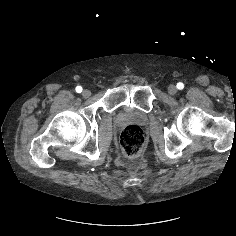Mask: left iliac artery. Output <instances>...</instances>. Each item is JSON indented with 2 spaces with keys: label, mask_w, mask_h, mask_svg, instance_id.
<instances>
[{
  "label": "left iliac artery",
  "mask_w": 236,
  "mask_h": 236,
  "mask_svg": "<svg viewBox=\"0 0 236 236\" xmlns=\"http://www.w3.org/2000/svg\"><path fill=\"white\" fill-rule=\"evenodd\" d=\"M177 88L182 90L184 88V84L182 82L177 83Z\"/></svg>",
  "instance_id": "44dca946"
}]
</instances>
